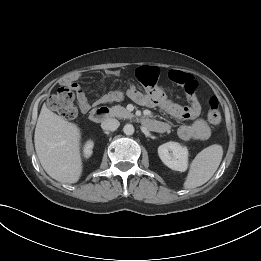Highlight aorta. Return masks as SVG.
<instances>
[{
	"label": "aorta",
	"instance_id": "obj_1",
	"mask_svg": "<svg viewBox=\"0 0 261 261\" xmlns=\"http://www.w3.org/2000/svg\"><path fill=\"white\" fill-rule=\"evenodd\" d=\"M134 126L132 124H126L124 127H123V132L126 134V135H133L134 134Z\"/></svg>",
	"mask_w": 261,
	"mask_h": 261
}]
</instances>
